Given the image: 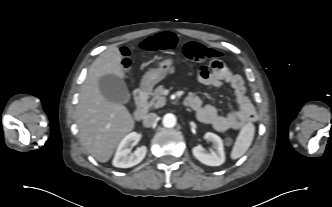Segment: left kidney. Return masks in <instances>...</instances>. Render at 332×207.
<instances>
[{
	"label": "left kidney",
	"instance_id": "5707ae66",
	"mask_svg": "<svg viewBox=\"0 0 332 207\" xmlns=\"http://www.w3.org/2000/svg\"><path fill=\"white\" fill-rule=\"evenodd\" d=\"M205 139L213 143L214 151L210 154L204 152V148L200 145L192 148L194 157L201 163L208 166H220L225 162V153L222 139L211 132L205 134Z\"/></svg>",
	"mask_w": 332,
	"mask_h": 207
}]
</instances>
